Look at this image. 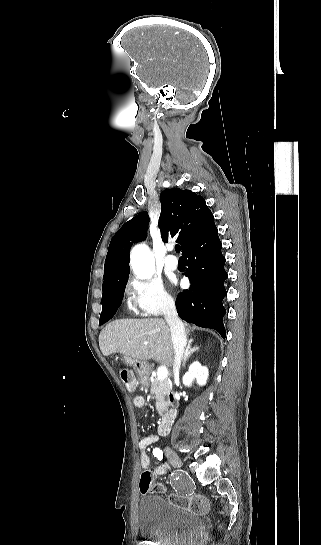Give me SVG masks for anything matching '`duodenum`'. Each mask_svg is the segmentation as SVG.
<instances>
[{"instance_id":"obj_1","label":"duodenum","mask_w":321,"mask_h":545,"mask_svg":"<svg viewBox=\"0 0 321 545\" xmlns=\"http://www.w3.org/2000/svg\"><path fill=\"white\" fill-rule=\"evenodd\" d=\"M176 414V410L172 409L161 418L158 426V433L160 435H167L170 432Z\"/></svg>"}]
</instances>
